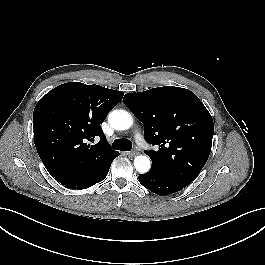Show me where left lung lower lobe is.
Masks as SVG:
<instances>
[{
	"label": "left lung lower lobe",
	"instance_id": "left-lung-lower-lobe-1",
	"mask_svg": "<svg viewBox=\"0 0 265 265\" xmlns=\"http://www.w3.org/2000/svg\"><path fill=\"white\" fill-rule=\"evenodd\" d=\"M139 182L158 195L172 194L189 185V183L153 167L148 173L139 175Z\"/></svg>",
	"mask_w": 265,
	"mask_h": 265
}]
</instances>
